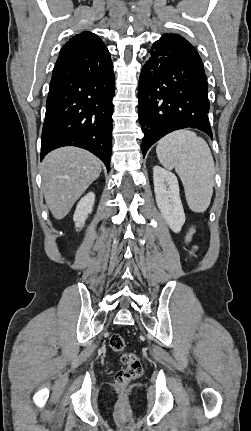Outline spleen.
<instances>
[{
    "mask_svg": "<svg viewBox=\"0 0 251 431\" xmlns=\"http://www.w3.org/2000/svg\"><path fill=\"white\" fill-rule=\"evenodd\" d=\"M157 157L166 169L175 168L189 208L204 212L210 205L214 186V161L206 141L189 130L163 137L156 147Z\"/></svg>",
    "mask_w": 251,
    "mask_h": 431,
    "instance_id": "3e777b00",
    "label": "spleen"
}]
</instances>
